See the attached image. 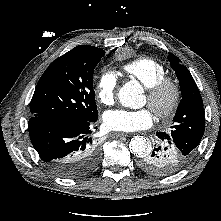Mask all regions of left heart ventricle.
<instances>
[{"label": "left heart ventricle", "mask_w": 221, "mask_h": 221, "mask_svg": "<svg viewBox=\"0 0 221 221\" xmlns=\"http://www.w3.org/2000/svg\"><path fill=\"white\" fill-rule=\"evenodd\" d=\"M166 99H167V97H164V99H163V103L166 101ZM146 100H147V102L149 103L148 96L146 97Z\"/></svg>", "instance_id": "b2bd125f"}]
</instances>
